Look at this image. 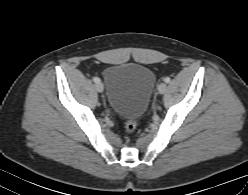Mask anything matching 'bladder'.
Instances as JSON below:
<instances>
[{
	"instance_id": "bladder-1",
	"label": "bladder",
	"mask_w": 248,
	"mask_h": 195,
	"mask_svg": "<svg viewBox=\"0 0 248 195\" xmlns=\"http://www.w3.org/2000/svg\"><path fill=\"white\" fill-rule=\"evenodd\" d=\"M103 79L114 111L135 119L144 114L155 85L151 69L137 63L112 64L104 70Z\"/></svg>"
}]
</instances>
